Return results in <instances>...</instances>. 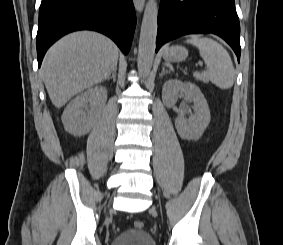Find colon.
<instances>
[{"instance_id":"5ec220e1","label":"colon","mask_w":283,"mask_h":245,"mask_svg":"<svg viewBox=\"0 0 283 245\" xmlns=\"http://www.w3.org/2000/svg\"><path fill=\"white\" fill-rule=\"evenodd\" d=\"M134 227L136 229H142L144 227V223L140 220H137V221L134 222Z\"/></svg>"}]
</instances>
